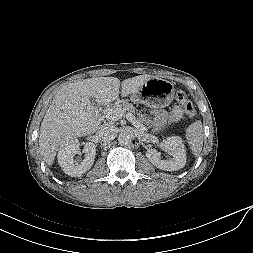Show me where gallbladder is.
Segmentation results:
<instances>
[{"label":"gallbladder","mask_w":253,"mask_h":253,"mask_svg":"<svg viewBox=\"0 0 253 253\" xmlns=\"http://www.w3.org/2000/svg\"><path fill=\"white\" fill-rule=\"evenodd\" d=\"M89 99H90L91 104L97 108L98 104H97L96 100L93 97H90Z\"/></svg>","instance_id":"bac80fb5"}]
</instances>
